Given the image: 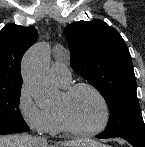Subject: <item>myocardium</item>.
<instances>
[{
	"mask_svg": "<svg viewBox=\"0 0 145 147\" xmlns=\"http://www.w3.org/2000/svg\"><path fill=\"white\" fill-rule=\"evenodd\" d=\"M80 89H88L92 91L102 103L104 108V119L98 127L90 130L78 129L68 120L64 110L61 107L55 106V111L64 131L79 137H91L101 133L107 128L111 119V108L104 94L96 86L90 83L81 82L69 85L64 89L63 95L65 98H69Z\"/></svg>",
	"mask_w": 145,
	"mask_h": 147,
	"instance_id": "myocardium-1",
	"label": "myocardium"
}]
</instances>
